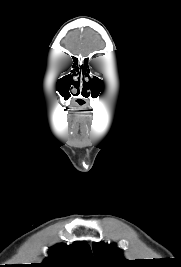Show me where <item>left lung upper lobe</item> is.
I'll return each instance as SVG.
<instances>
[{
	"instance_id": "5c2ea615",
	"label": "left lung upper lobe",
	"mask_w": 181,
	"mask_h": 267,
	"mask_svg": "<svg viewBox=\"0 0 181 267\" xmlns=\"http://www.w3.org/2000/svg\"><path fill=\"white\" fill-rule=\"evenodd\" d=\"M95 267H130L133 263L125 259L115 244L93 243Z\"/></svg>"
}]
</instances>
